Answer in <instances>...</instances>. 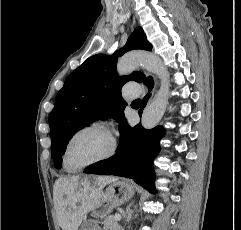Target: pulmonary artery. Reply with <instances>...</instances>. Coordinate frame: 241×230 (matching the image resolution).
I'll use <instances>...</instances> for the list:
<instances>
[{"mask_svg": "<svg viewBox=\"0 0 241 230\" xmlns=\"http://www.w3.org/2000/svg\"><path fill=\"white\" fill-rule=\"evenodd\" d=\"M123 97L127 100H133L139 95V85L135 82L126 83L123 87Z\"/></svg>", "mask_w": 241, "mask_h": 230, "instance_id": "obj_1", "label": "pulmonary artery"}]
</instances>
